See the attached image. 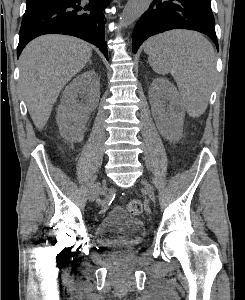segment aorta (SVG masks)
<instances>
[{"label": "aorta", "instance_id": "762f6f07", "mask_svg": "<svg viewBox=\"0 0 245 300\" xmlns=\"http://www.w3.org/2000/svg\"><path fill=\"white\" fill-rule=\"evenodd\" d=\"M151 2L152 0H128L120 17L121 25L126 27L140 18L147 11Z\"/></svg>", "mask_w": 245, "mask_h": 300}]
</instances>
